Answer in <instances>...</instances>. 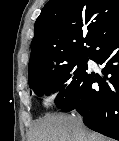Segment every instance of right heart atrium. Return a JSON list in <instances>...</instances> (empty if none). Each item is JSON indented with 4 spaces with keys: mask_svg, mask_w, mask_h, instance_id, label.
I'll return each mask as SVG.
<instances>
[{
    "mask_svg": "<svg viewBox=\"0 0 119 141\" xmlns=\"http://www.w3.org/2000/svg\"><path fill=\"white\" fill-rule=\"evenodd\" d=\"M56 96V91L54 89H50L45 94L46 103L50 102Z\"/></svg>",
    "mask_w": 119,
    "mask_h": 141,
    "instance_id": "right-heart-atrium-1",
    "label": "right heart atrium"
}]
</instances>
